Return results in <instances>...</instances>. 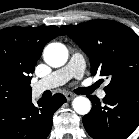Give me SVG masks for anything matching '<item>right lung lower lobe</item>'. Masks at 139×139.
I'll list each match as a JSON object with an SVG mask.
<instances>
[{
    "label": "right lung lower lobe",
    "mask_w": 139,
    "mask_h": 139,
    "mask_svg": "<svg viewBox=\"0 0 139 139\" xmlns=\"http://www.w3.org/2000/svg\"><path fill=\"white\" fill-rule=\"evenodd\" d=\"M66 102L62 94L39 99L31 96L0 106V139H46L52 128L54 112Z\"/></svg>",
    "instance_id": "1"
}]
</instances>
